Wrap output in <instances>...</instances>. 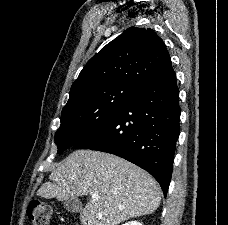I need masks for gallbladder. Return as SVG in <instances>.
Instances as JSON below:
<instances>
[{
  "label": "gallbladder",
  "instance_id": "bac80fb5",
  "mask_svg": "<svg viewBox=\"0 0 228 225\" xmlns=\"http://www.w3.org/2000/svg\"><path fill=\"white\" fill-rule=\"evenodd\" d=\"M62 205L64 209L70 211V213H82L83 205L78 197L68 199V201H63Z\"/></svg>",
  "mask_w": 228,
  "mask_h": 225
}]
</instances>
